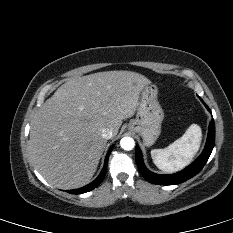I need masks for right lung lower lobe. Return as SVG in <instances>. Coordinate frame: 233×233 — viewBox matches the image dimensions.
Listing matches in <instances>:
<instances>
[{
	"label": "right lung lower lobe",
	"mask_w": 233,
	"mask_h": 233,
	"mask_svg": "<svg viewBox=\"0 0 233 233\" xmlns=\"http://www.w3.org/2000/svg\"><path fill=\"white\" fill-rule=\"evenodd\" d=\"M110 153H111V150L106 155L104 168L101 171L100 175L96 178V180H94L92 183H90V184H88V185H86V186H84L82 188L75 189V190H68V193L81 194V193H85V192H88V191L96 188L102 182V180L104 179V176H105L106 171H107V161H108V157H109Z\"/></svg>",
	"instance_id": "right-lung-lower-lobe-1"
}]
</instances>
